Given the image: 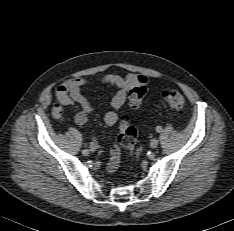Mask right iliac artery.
Segmentation results:
<instances>
[{
    "mask_svg": "<svg viewBox=\"0 0 234 231\" xmlns=\"http://www.w3.org/2000/svg\"><path fill=\"white\" fill-rule=\"evenodd\" d=\"M98 147H99L98 144L95 142H91L89 144L90 151H95Z\"/></svg>",
    "mask_w": 234,
    "mask_h": 231,
    "instance_id": "1",
    "label": "right iliac artery"
}]
</instances>
